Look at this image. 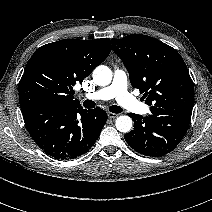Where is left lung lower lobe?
I'll list each match as a JSON object with an SVG mask.
<instances>
[{
  "instance_id": "left-lung-lower-lobe-1",
  "label": "left lung lower lobe",
  "mask_w": 212,
  "mask_h": 212,
  "mask_svg": "<svg viewBox=\"0 0 212 212\" xmlns=\"http://www.w3.org/2000/svg\"><path fill=\"white\" fill-rule=\"evenodd\" d=\"M151 114L143 117L129 113L134 129L124 138L136 152L150 157L170 153L183 139L192 110L150 107Z\"/></svg>"
}]
</instances>
